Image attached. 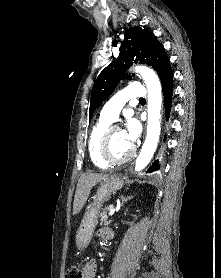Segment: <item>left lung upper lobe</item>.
Masks as SVG:
<instances>
[{
	"mask_svg": "<svg viewBox=\"0 0 221 278\" xmlns=\"http://www.w3.org/2000/svg\"><path fill=\"white\" fill-rule=\"evenodd\" d=\"M151 66L157 73L169 62L165 49L148 29L132 27L125 31V38L116 61L105 67L97 77L91 92L90 118L96 107L105 100L125 77L124 71L133 63ZM134 76V75H133ZM131 78V76H127Z\"/></svg>",
	"mask_w": 221,
	"mask_h": 278,
	"instance_id": "left-lung-upper-lobe-1",
	"label": "left lung upper lobe"
}]
</instances>
